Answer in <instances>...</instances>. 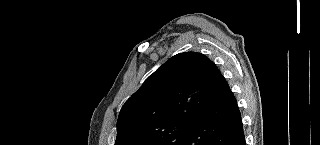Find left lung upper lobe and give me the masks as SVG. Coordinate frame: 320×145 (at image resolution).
Masks as SVG:
<instances>
[{"mask_svg":"<svg viewBox=\"0 0 320 145\" xmlns=\"http://www.w3.org/2000/svg\"><path fill=\"white\" fill-rule=\"evenodd\" d=\"M216 68L197 52L171 57L123 105L115 145H183L209 106Z\"/></svg>","mask_w":320,"mask_h":145,"instance_id":"obj_1","label":"left lung upper lobe"}]
</instances>
